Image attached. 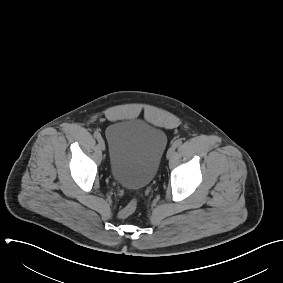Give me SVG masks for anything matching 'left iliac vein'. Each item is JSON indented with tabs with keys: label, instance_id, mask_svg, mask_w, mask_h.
<instances>
[{
	"label": "left iliac vein",
	"instance_id": "1",
	"mask_svg": "<svg viewBox=\"0 0 283 283\" xmlns=\"http://www.w3.org/2000/svg\"><path fill=\"white\" fill-rule=\"evenodd\" d=\"M175 153V146L172 145L167 151V158L170 159Z\"/></svg>",
	"mask_w": 283,
	"mask_h": 283
}]
</instances>
